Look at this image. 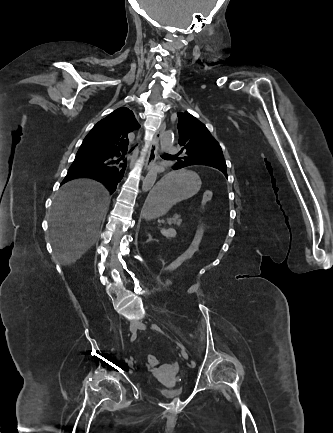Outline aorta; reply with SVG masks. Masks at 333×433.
<instances>
[{
	"label": "aorta",
	"mask_w": 333,
	"mask_h": 433,
	"mask_svg": "<svg viewBox=\"0 0 333 433\" xmlns=\"http://www.w3.org/2000/svg\"><path fill=\"white\" fill-rule=\"evenodd\" d=\"M173 143V136L170 132H163L160 134V151L161 153L166 152L169 147ZM157 178V166H154L151 168V170L146 175L143 184H142V191L147 192L149 191L152 186L154 185Z\"/></svg>",
	"instance_id": "762f6f07"
}]
</instances>
